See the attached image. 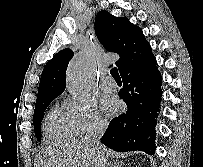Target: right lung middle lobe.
Masks as SVG:
<instances>
[{"label":"right lung middle lobe","mask_w":203,"mask_h":167,"mask_svg":"<svg viewBox=\"0 0 203 167\" xmlns=\"http://www.w3.org/2000/svg\"><path fill=\"white\" fill-rule=\"evenodd\" d=\"M56 97H52L41 102L36 103L34 116H33V124H34V131L36 137L39 141H41V121L43 120V114L49 104L55 99Z\"/></svg>","instance_id":"dd1d6c3e"}]
</instances>
